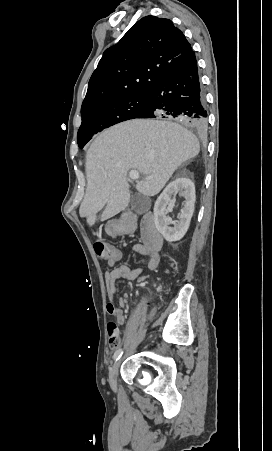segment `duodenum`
Wrapping results in <instances>:
<instances>
[{"mask_svg":"<svg viewBox=\"0 0 272 451\" xmlns=\"http://www.w3.org/2000/svg\"><path fill=\"white\" fill-rule=\"evenodd\" d=\"M144 247L150 252H158L163 244V238L156 227L152 215H146L140 222ZM137 227V221L132 216L124 217L111 223L110 230L116 236L133 232Z\"/></svg>","mask_w":272,"mask_h":451,"instance_id":"1","label":"duodenum"}]
</instances>
